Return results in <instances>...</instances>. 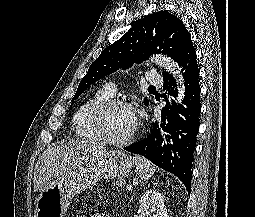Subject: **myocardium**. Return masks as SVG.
<instances>
[{
  "instance_id": "myocardium-1",
  "label": "myocardium",
  "mask_w": 255,
  "mask_h": 217,
  "mask_svg": "<svg viewBox=\"0 0 255 217\" xmlns=\"http://www.w3.org/2000/svg\"><path fill=\"white\" fill-rule=\"evenodd\" d=\"M118 107H126L133 110V107L129 102L122 99L111 98L94 110L92 114V123L101 140L111 145L123 146L131 143L136 138L139 125L136 123L133 131L125 138L116 139L111 137L106 128V118L110 111Z\"/></svg>"
}]
</instances>
